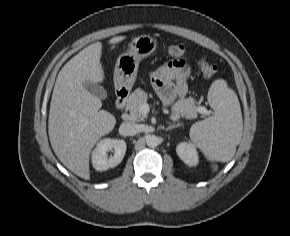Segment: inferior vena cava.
I'll use <instances>...</instances> for the list:
<instances>
[{"mask_svg": "<svg viewBox=\"0 0 290 236\" xmlns=\"http://www.w3.org/2000/svg\"><path fill=\"white\" fill-rule=\"evenodd\" d=\"M119 131L122 135L133 136L138 133V125L134 122H123L120 125Z\"/></svg>", "mask_w": 290, "mask_h": 236, "instance_id": "602c4592", "label": "inferior vena cava"}]
</instances>
